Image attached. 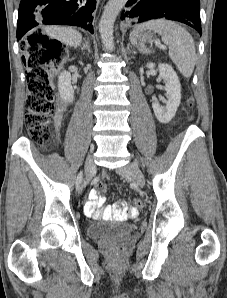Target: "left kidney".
<instances>
[{
  "label": "left kidney",
  "instance_id": "left-kidney-1",
  "mask_svg": "<svg viewBox=\"0 0 227 298\" xmlns=\"http://www.w3.org/2000/svg\"><path fill=\"white\" fill-rule=\"evenodd\" d=\"M155 67L154 63H148L147 68L153 69ZM159 75L165 83L166 106H161L160 104L154 102L152 103V108L155 116L161 123H168L175 116L177 108L181 100V86L176 72L173 68L164 63L158 65Z\"/></svg>",
  "mask_w": 227,
  "mask_h": 298
}]
</instances>
